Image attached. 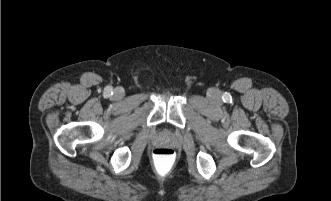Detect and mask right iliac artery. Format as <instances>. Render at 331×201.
I'll return each mask as SVG.
<instances>
[{"label":"right iliac artery","instance_id":"right-iliac-artery-1","mask_svg":"<svg viewBox=\"0 0 331 201\" xmlns=\"http://www.w3.org/2000/svg\"><path fill=\"white\" fill-rule=\"evenodd\" d=\"M105 93H106V96H110L113 94V91H112V89H108V90H106Z\"/></svg>","mask_w":331,"mask_h":201}]
</instances>
